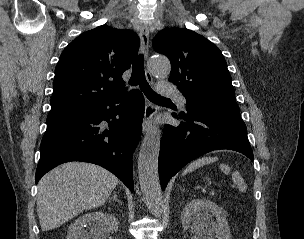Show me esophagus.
Masks as SVG:
<instances>
[{
	"mask_svg": "<svg viewBox=\"0 0 304 239\" xmlns=\"http://www.w3.org/2000/svg\"><path fill=\"white\" fill-rule=\"evenodd\" d=\"M139 37L141 41L142 52L144 54L145 59H147L149 54V29L146 25L141 26ZM145 74L148 82L153 84V77L151 73L146 70ZM156 113L157 108L150 102L146 101L144 119L142 122V131L144 134L152 128V121Z\"/></svg>",
	"mask_w": 304,
	"mask_h": 239,
	"instance_id": "1",
	"label": "esophagus"
}]
</instances>
